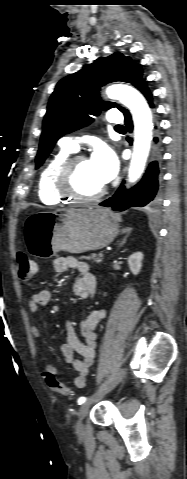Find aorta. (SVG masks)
Masks as SVG:
<instances>
[{"instance_id": "762f6f07", "label": "aorta", "mask_w": 187, "mask_h": 479, "mask_svg": "<svg viewBox=\"0 0 187 479\" xmlns=\"http://www.w3.org/2000/svg\"><path fill=\"white\" fill-rule=\"evenodd\" d=\"M106 94L109 98L117 99L128 107L133 116L134 148L128 177L129 181L134 183L143 173L150 151L153 128L151 111L143 96L129 86H110Z\"/></svg>"}]
</instances>
